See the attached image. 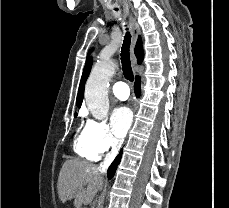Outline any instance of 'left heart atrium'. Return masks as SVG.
<instances>
[{
	"label": "left heart atrium",
	"instance_id": "39dd6f15",
	"mask_svg": "<svg viewBox=\"0 0 229 208\" xmlns=\"http://www.w3.org/2000/svg\"><path fill=\"white\" fill-rule=\"evenodd\" d=\"M133 121V112L128 106L116 108L111 115V126L115 135L122 139L130 129Z\"/></svg>",
	"mask_w": 229,
	"mask_h": 208
}]
</instances>
